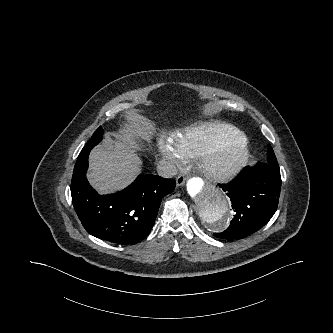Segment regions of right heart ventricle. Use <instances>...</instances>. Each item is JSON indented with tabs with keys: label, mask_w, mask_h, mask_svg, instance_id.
<instances>
[{
	"label": "right heart ventricle",
	"mask_w": 333,
	"mask_h": 333,
	"mask_svg": "<svg viewBox=\"0 0 333 333\" xmlns=\"http://www.w3.org/2000/svg\"><path fill=\"white\" fill-rule=\"evenodd\" d=\"M228 138L246 139V136L226 123H204L176 133L173 142L185 158H199L213 143Z\"/></svg>",
	"instance_id": "1"
}]
</instances>
